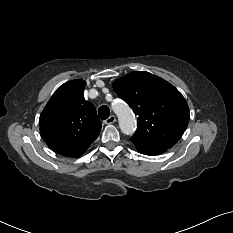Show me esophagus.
Returning a JSON list of instances; mask_svg holds the SVG:
<instances>
[{
  "label": "esophagus",
  "instance_id": "1",
  "mask_svg": "<svg viewBox=\"0 0 233 233\" xmlns=\"http://www.w3.org/2000/svg\"><path fill=\"white\" fill-rule=\"evenodd\" d=\"M116 121V116L115 115H110L106 120L105 124H112Z\"/></svg>",
  "mask_w": 233,
  "mask_h": 233
}]
</instances>
